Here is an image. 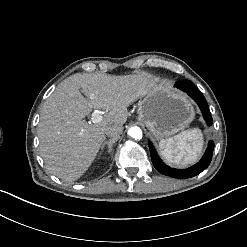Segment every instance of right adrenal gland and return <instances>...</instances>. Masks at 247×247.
<instances>
[{
	"instance_id": "2a0ac1e0",
	"label": "right adrenal gland",
	"mask_w": 247,
	"mask_h": 247,
	"mask_svg": "<svg viewBox=\"0 0 247 247\" xmlns=\"http://www.w3.org/2000/svg\"><path fill=\"white\" fill-rule=\"evenodd\" d=\"M115 142H116V140H114V139L104 140V141L101 143V149L103 150L104 145L107 144V145H108V149L111 151V150H112V146H113V144H114Z\"/></svg>"
}]
</instances>
